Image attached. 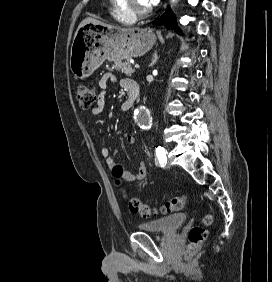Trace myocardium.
<instances>
[{
  "instance_id": "1",
  "label": "myocardium",
  "mask_w": 272,
  "mask_h": 282,
  "mask_svg": "<svg viewBox=\"0 0 272 282\" xmlns=\"http://www.w3.org/2000/svg\"><path fill=\"white\" fill-rule=\"evenodd\" d=\"M124 8L135 18H140L148 15L151 12V8L146 10H141L137 7L135 0H123Z\"/></svg>"
}]
</instances>
